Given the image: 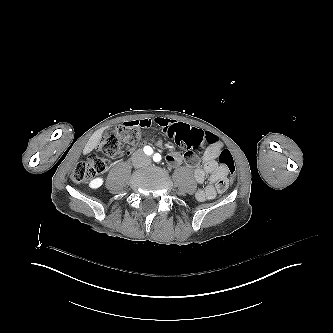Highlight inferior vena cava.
<instances>
[{
	"label": "inferior vena cava",
	"instance_id": "602c4592",
	"mask_svg": "<svg viewBox=\"0 0 333 333\" xmlns=\"http://www.w3.org/2000/svg\"><path fill=\"white\" fill-rule=\"evenodd\" d=\"M132 158L133 160L141 158L148 160L147 156L143 153L142 150H137L136 152H134Z\"/></svg>",
	"mask_w": 333,
	"mask_h": 333
}]
</instances>
